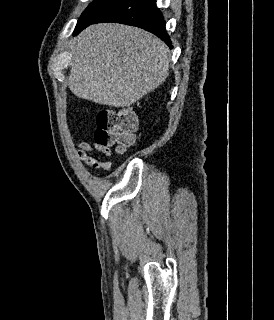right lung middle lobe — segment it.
Wrapping results in <instances>:
<instances>
[{"label":"right lung middle lobe","mask_w":274,"mask_h":320,"mask_svg":"<svg viewBox=\"0 0 274 320\" xmlns=\"http://www.w3.org/2000/svg\"><path fill=\"white\" fill-rule=\"evenodd\" d=\"M123 0H93L78 20L75 30L94 22L102 14L116 7Z\"/></svg>","instance_id":"obj_1"}]
</instances>
